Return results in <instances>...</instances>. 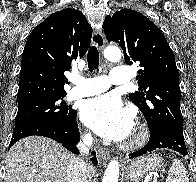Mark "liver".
<instances>
[{"label":"liver","instance_id":"obj_1","mask_svg":"<svg viewBox=\"0 0 196 182\" xmlns=\"http://www.w3.org/2000/svg\"><path fill=\"white\" fill-rule=\"evenodd\" d=\"M75 158L56 141L30 136L16 142L6 158L5 182H68V170ZM87 166V175L95 173Z\"/></svg>","mask_w":196,"mask_h":182}]
</instances>
